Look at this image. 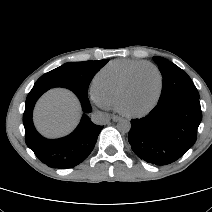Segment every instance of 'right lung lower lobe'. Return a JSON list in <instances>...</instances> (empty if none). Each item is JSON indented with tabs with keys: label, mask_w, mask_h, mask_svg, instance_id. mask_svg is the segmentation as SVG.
<instances>
[{
	"label": "right lung lower lobe",
	"mask_w": 212,
	"mask_h": 212,
	"mask_svg": "<svg viewBox=\"0 0 212 212\" xmlns=\"http://www.w3.org/2000/svg\"><path fill=\"white\" fill-rule=\"evenodd\" d=\"M50 88L53 87L34 85L27 96L23 114L25 142L37 158L47 166L58 169L72 168L91 153L103 126L94 124L87 115H83L80 124L70 135L56 140L42 137L33 125L32 112L38 98ZM70 90L78 96L83 111L90 113L91 105L87 94Z\"/></svg>",
	"instance_id": "right-lung-lower-lobe-1"
}]
</instances>
